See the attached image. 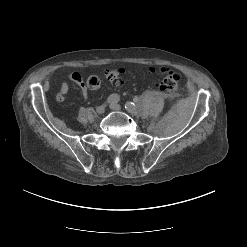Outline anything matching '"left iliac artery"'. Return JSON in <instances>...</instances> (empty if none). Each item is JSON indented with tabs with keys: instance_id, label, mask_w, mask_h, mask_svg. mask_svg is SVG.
I'll return each instance as SVG.
<instances>
[{
	"instance_id": "obj_1",
	"label": "left iliac artery",
	"mask_w": 247,
	"mask_h": 247,
	"mask_svg": "<svg viewBox=\"0 0 247 247\" xmlns=\"http://www.w3.org/2000/svg\"><path fill=\"white\" fill-rule=\"evenodd\" d=\"M125 108L126 110H128V113L130 115H135L139 112V108L136 106L134 102H127L125 104Z\"/></svg>"
}]
</instances>
